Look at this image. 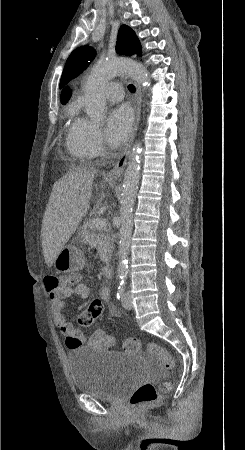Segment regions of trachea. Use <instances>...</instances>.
<instances>
[{"label":"trachea","instance_id":"trachea-1","mask_svg":"<svg viewBox=\"0 0 245 450\" xmlns=\"http://www.w3.org/2000/svg\"><path fill=\"white\" fill-rule=\"evenodd\" d=\"M128 88H129L130 92H132V93L135 92V87H134V85L130 84V85L128 86Z\"/></svg>","mask_w":245,"mask_h":450}]
</instances>
